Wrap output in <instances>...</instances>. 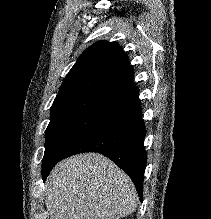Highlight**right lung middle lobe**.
<instances>
[{"mask_svg": "<svg viewBox=\"0 0 211 219\" xmlns=\"http://www.w3.org/2000/svg\"><path fill=\"white\" fill-rule=\"evenodd\" d=\"M118 106L93 98H81L52 105L51 120L46 129L42 178L67 150Z\"/></svg>", "mask_w": 211, "mask_h": 219, "instance_id": "obj_1", "label": "right lung middle lobe"}]
</instances>
